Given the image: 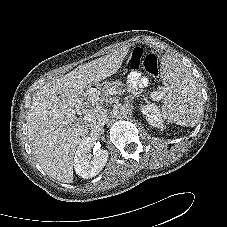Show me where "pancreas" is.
I'll use <instances>...</instances> for the list:
<instances>
[{"label": "pancreas", "instance_id": "pancreas-1", "mask_svg": "<svg viewBox=\"0 0 227 227\" xmlns=\"http://www.w3.org/2000/svg\"><path fill=\"white\" fill-rule=\"evenodd\" d=\"M113 94H122L125 92V90L122 89V83L119 81H113V82H107L104 87L101 89V91H97L95 89H91L87 91V97L89 99L94 98L93 101H96L97 99L102 100L105 96L112 95Z\"/></svg>", "mask_w": 227, "mask_h": 227}]
</instances>
